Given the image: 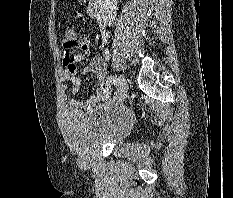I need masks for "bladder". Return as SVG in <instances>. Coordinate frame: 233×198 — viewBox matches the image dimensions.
I'll return each mask as SVG.
<instances>
[{
	"label": "bladder",
	"mask_w": 233,
	"mask_h": 198,
	"mask_svg": "<svg viewBox=\"0 0 233 198\" xmlns=\"http://www.w3.org/2000/svg\"><path fill=\"white\" fill-rule=\"evenodd\" d=\"M133 122L132 113L118 104H104L89 112L68 110L62 127L68 143L84 154L106 143H118Z\"/></svg>",
	"instance_id": "31cf9c89"
}]
</instances>
